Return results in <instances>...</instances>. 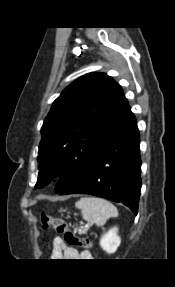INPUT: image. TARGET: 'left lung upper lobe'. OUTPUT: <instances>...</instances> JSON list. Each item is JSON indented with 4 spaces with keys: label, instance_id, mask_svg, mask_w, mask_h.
Returning <instances> with one entry per match:
<instances>
[{
    "label": "left lung upper lobe",
    "instance_id": "obj_1",
    "mask_svg": "<svg viewBox=\"0 0 175 287\" xmlns=\"http://www.w3.org/2000/svg\"><path fill=\"white\" fill-rule=\"evenodd\" d=\"M133 116L122 87L105 73H89L71 83L54 101L41 128L38 181L53 177L59 193L78 179L99 148Z\"/></svg>",
    "mask_w": 175,
    "mask_h": 287
}]
</instances>
